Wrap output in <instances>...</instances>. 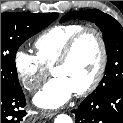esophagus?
<instances>
[{"label": "esophagus", "instance_id": "esophagus-1", "mask_svg": "<svg viewBox=\"0 0 123 123\" xmlns=\"http://www.w3.org/2000/svg\"><path fill=\"white\" fill-rule=\"evenodd\" d=\"M54 115H56V113L55 112H50V111H48V112L44 111V112L41 113V116L44 117V118H51Z\"/></svg>", "mask_w": 123, "mask_h": 123}]
</instances>
